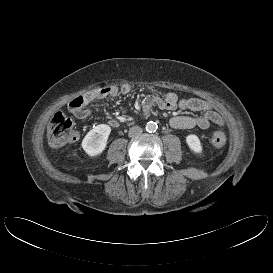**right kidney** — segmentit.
I'll return each mask as SVG.
<instances>
[{"mask_svg": "<svg viewBox=\"0 0 273 273\" xmlns=\"http://www.w3.org/2000/svg\"><path fill=\"white\" fill-rule=\"evenodd\" d=\"M111 127L99 124L88 132L82 141V148L90 157L100 155L106 148Z\"/></svg>", "mask_w": 273, "mask_h": 273, "instance_id": "right-kidney-1", "label": "right kidney"}]
</instances>
